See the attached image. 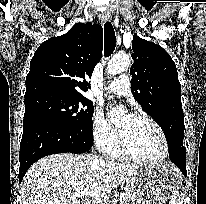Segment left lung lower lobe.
<instances>
[{
	"label": "left lung lower lobe",
	"instance_id": "left-lung-lower-lobe-1",
	"mask_svg": "<svg viewBox=\"0 0 206 204\" xmlns=\"http://www.w3.org/2000/svg\"><path fill=\"white\" fill-rule=\"evenodd\" d=\"M170 160L178 166L184 176H187L186 171V150L183 143L171 142L168 144Z\"/></svg>",
	"mask_w": 206,
	"mask_h": 204
}]
</instances>
